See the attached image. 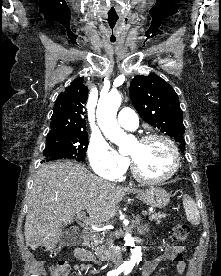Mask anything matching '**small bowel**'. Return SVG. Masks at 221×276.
Instances as JSON below:
<instances>
[{
	"label": "small bowel",
	"mask_w": 221,
	"mask_h": 276,
	"mask_svg": "<svg viewBox=\"0 0 221 276\" xmlns=\"http://www.w3.org/2000/svg\"><path fill=\"white\" fill-rule=\"evenodd\" d=\"M183 246H168L165 249V253L162 256L153 258L145 262L142 269V276H150L158 264L165 260H170L176 263V269L179 274H183L186 265L183 261ZM75 256L81 261H95L93 254L83 248H77L75 250Z\"/></svg>",
	"instance_id": "obj_1"
}]
</instances>
